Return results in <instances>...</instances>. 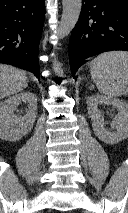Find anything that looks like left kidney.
Returning a JSON list of instances; mask_svg holds the SVG:
<instances>
[{"label": "left kidney", "instance_id": "left-kidney-1", "mask_svg": "<svg viewBox=\"0 0 128 213\" xmlns=\"http://www.w3.org/2000/svg\"><path fill=\"white\" fill-rule=\"evenodd\" d=\"M103 104L111 105L118 110V115L111 123L112 131L105 128L103 111L98 108ZM87 110L92 120L93 131L102 142L116 144L128 138V104L125 101L99 94L92 95L87 99Z\"/></svg>", "mask_w": 128, "mask_h": 213}]
</instances>
